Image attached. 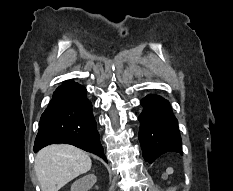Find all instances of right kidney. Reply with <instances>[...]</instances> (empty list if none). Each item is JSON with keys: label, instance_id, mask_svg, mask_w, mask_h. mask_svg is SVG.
<instances>
[{"label": "right kidney", "instance_id": "ca27d5eb", "mask_svg": "<svg viewBox=\"0 0 233 191\" xmlns=\"http://www.w3.org/2000/svg\"><path fill=\"white\" fill-rule=\"evenodd\" d=\"M97 178L94 174H88L76 180L72 186L71 191H88L95 184Z\"/></svg>", "mask_w": 233, "mask_h": 191}]
</instances>
